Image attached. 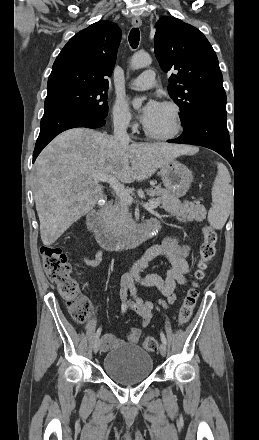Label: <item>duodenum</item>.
I'll use <instances>...</instances> for the list:
<instances>
[{"label": "duodenum", "mask_w": 259, "mask_h": 440, "mask_svg": "<svg viewBox=\"0 0 259 440\" xmlns=\"http://www.w3.org/2000/svg\"><path fill=\"white\" fill-rule=\"evenodd\" d=\"M110 207V201L104 202L97 209L90 212L86 220L88 230L97 242L104 247L115 249L139 245L151 238L160 227L159 221L151 218L130 230L111 232L105 224V218Z\"/></svg>", "instance_id": "obj_1"}]
</instances>
